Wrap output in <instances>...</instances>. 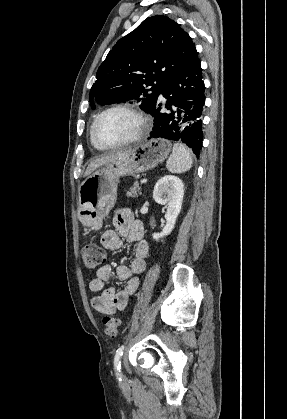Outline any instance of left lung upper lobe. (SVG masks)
<instances>
[{
  "mask_svg": "<svg viewBox=\"0 0 287 419\" xmlns=\"http://www.w3.org/2000/svg\"><path fill=\"white\" fill-rule=\"evenodd\" d=\"M197 58L191 38L176 22L162 15L148 17L108 53L90 101L94 98L102 105L137 101L149 112L161 87Z\"/></svg>",
  "mask_w": 287,
  "mask_h": 419,
  "instance_id": "left-lung-upper-lobe-1",
  "label": "left lung upper lobe"
}]
</instances>
